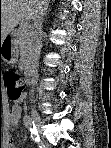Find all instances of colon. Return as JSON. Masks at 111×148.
I'll return each instance as SVG.
<instances>
[{
	"label": "colon",
	"instance_id": "colon-1",
	"mask_svg": "<svg viewBox=\"0 0 111 148\" xmlns=\"http://www.w3.org/2000/svg\"><path fill=\"white\" fill-rule=\"evenodd\" d=\"M3 81L7 87V95L12 100H18L24 94V86L18 73L8 70L3 74Z\"/></svg>",
	"mask_w": 111,
	"mask_h": 148
}]
</instances>
